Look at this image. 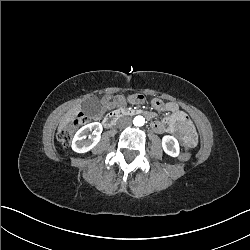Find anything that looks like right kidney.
I'll list each match as a JSON object with an SVG mask.
<instances>
[{
  "label": "right kidney",
  "instance_id": "ca27d5eb",
  "mask_svg": "<svg viewBox=\"0 0 250 250\" xmlns=\"http://www.w3.org/2000/svg\"><path fill=\"white\" fill-rule=\"evenodd\" d=\"M92 131V136H87L86 133ZM102 125L99 122H92L81 127L72 140V148L74 151L83 153L94 147L101 138Z\"/></svg>",
  "mask_w": 250,
  "mask_h": 250
}]
</instances>
